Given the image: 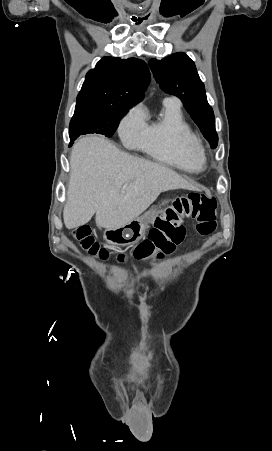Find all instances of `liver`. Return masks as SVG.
I'll use <instances>...</instances> for the list:
<instances>
[{"label": "liver", "mask_w": 272, "mask_h": 451, "mask_svg": "<svg viewBox=\"0 0 272 451\" xmlns=\"http://www.w3.org/2000/svg\"><path fill=\"white\" fill-rule=\"evenodd\" d=\"M194 186L162 164L120 152L106 138L86 136L75 142L63 210L68 229L96 214L98 227H120L138 218L167 190Z\"/></svg>", "instance_id": "liver-1"}]
</instances>
